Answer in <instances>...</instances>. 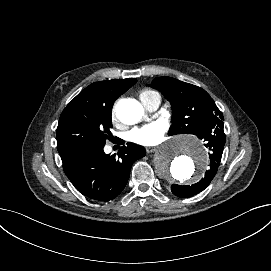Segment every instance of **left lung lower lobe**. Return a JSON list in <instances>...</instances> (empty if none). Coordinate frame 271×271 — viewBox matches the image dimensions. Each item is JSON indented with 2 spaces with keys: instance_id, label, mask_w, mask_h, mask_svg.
<instances>
[{
  "instance_id": "left-lung-lower-lobe-1",
  "label": "left lung lower lobe",
  "mask_w": 271,
  "mask_h": 271,
  "mask_svg": "<svg viewBox=\"0 0 271 271\" xmlns=\"http://www.w3.org/2000/svg\"><path fill=\"white\" fill-rule=\"evenodd\" d=\"M205 137L206 139H204L203 137L201 139L205 141V146L210 151V169L205 172L204 178H202L196 184H193L191 186H180L173 184L171 186V191L174 195L178 197L185 198L203 191L210 184V182L213 180L217 173L226 140L223 127L216 128L213 133L207 134L205 135Z\"/></svg>"
}]
</instances>
